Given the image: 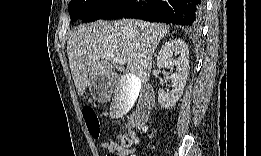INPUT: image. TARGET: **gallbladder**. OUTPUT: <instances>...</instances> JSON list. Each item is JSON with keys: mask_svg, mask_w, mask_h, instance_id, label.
<instances>
[{"mask_svg": "<svg viewBox=\"0 0 261 156\" xmlns=\"http://www.w3.org/2000/svg\"><path fill=\"white\" fill-rule=\"evenodd\" d=\"M125 75H121L118 83L121 85L116 89L113 97V101H111L110 107L111 110V118L112 120H122L119 118H124L126 113L133 108L134 102H136L138 95L140 94L141 82L140 77L131 73H124Z\"/></svg>", "mask_w": 261, "mask_h": 156, "instance_id": "obj_1", "label": "gallbladder"}]
</instances>
